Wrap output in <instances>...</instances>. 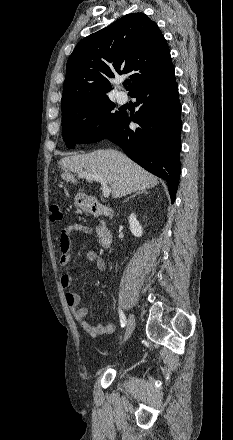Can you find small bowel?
<instances>
[{
  "instance_id": "obj_1",
  "label": "small bowel",
  "mask_w": 233,
  "mask_h": 440,
  "mask_svg": "<svg viewBox=\"0 0 233 440\" xmlns=\"http://www.w3.org/2000/svg\"><path fill=\"white\" fill-rule=\"evenodd\" d=\"M90 233L91 229L88 226L74 223L66 225L62 228L59 236V249L60 257L59 263L61 266H67L72 259V245L71 237L75 233ZM86 258L89 262L95 264L98 271L103 272L106 269V263L104 259L95 250H89L86 253ZM60 284L63 288H69L72 284V276L70 273H64L60 277ZM65 300L67 305L72 311L74 318L79 323L83 331L88 333L91 337H98L100 335L110 334L115 331L116 326L113 323L109 324H96L89 323L85 318L88 314L87 307L80 306V295L74 291H67L65 294Z\"/></svg>"
}]
</instances>
